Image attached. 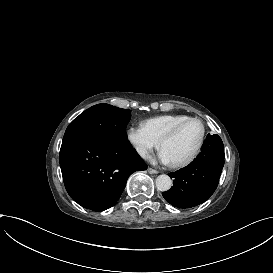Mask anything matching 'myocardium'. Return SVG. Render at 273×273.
Listing matches in <instances>:
<instances>
[{"label": "myocardium", "mask_w": 273, "mask_h": 273, "mask_svg": "<svg viewBox=\"0 0 273 273\" xmlns=\"http://www.w3.org/2000/svg\"><path fill=\"white\" fill-rule=\"evenodd\" d=\"M192 121H199L202 125V134L200 137V140L195 148V150L193 151V153L185 160L183 161H179V162H174V163H170L171 167L174 168H182V167H186L188 165H190L191 163H193L195 161V159L198 157V155L200 154L202 147L204 145L205 139H206V135H207V124L206 122L200 118V117H189L188 119L179 122L178 124H176L175 126H173L159 141V146L160 148L163 147V145L171 140L172 138H174L176 136V134L188 123L192 122Z\"/></svg>", "instance_id": "1"}]
</instances>
